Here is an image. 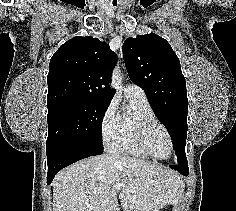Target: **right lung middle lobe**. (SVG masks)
Instances as JSON below:
<instances>
[{"mask_svg": "<svg viewBox=\"0 0 236 211\" xmlns=\"http://www.w3.org/2000/svg\"><path fill=\"white\" fill-rule=\"evenodd\" d=\"M109 104L66 101L48 107L47 144L75 141L102 147V121Z\"/></svg>", "mask_w": 236, "mask_h": 211, "instance_id": "1", "label": "right lung middle lobe"}]
</instances>
